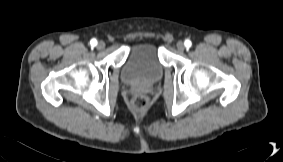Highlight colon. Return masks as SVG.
Wrapping results in <instances>:
<instances>
[{
  "label": "colon",
  "instance_id": "5ec220e1",
  "mask_svg": "<svg viewBox=\"0 0 283 162\" xmlns=\"http://www.w3.org/2000/svg\"><path fill=\"white\" fill-rule=\"evenodd\" d=\"M147 105V98L142 95V94H139V95H136L133 99V106L136 108V109H143L145 108Z\"/></svg>",
  "mask_w": 283,
  "mask_h": 162
}]
</instances>
